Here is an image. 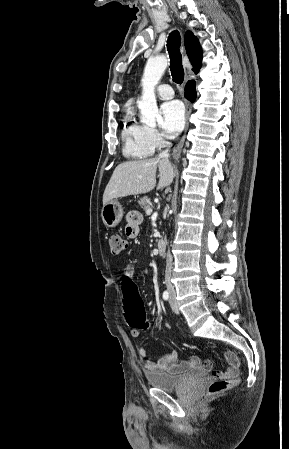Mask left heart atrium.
Returning <instances> with one entry per match:
<instances>
[{
    "label": "left heart atrium",
    "instance_id": "obj_1",
    "mask_svg": "<svg viewBox=\"0 0 289 449\" xmlns=\"http://www.w3.org/2000/svg\"><path fill=\"white\" fill-rule=\"evenodd\" d=\"M161 128L170 136L178 134L185 124V110L180 101L165 102L160 107Z\"/></svg>",
    "mask_w": 289,
    "mask_h": 449
}]
</instances>
